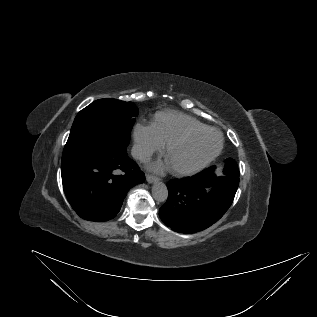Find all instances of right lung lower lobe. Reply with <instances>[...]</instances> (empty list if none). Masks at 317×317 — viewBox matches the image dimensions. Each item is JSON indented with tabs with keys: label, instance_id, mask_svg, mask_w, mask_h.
Masks as SVG:
<instances>
[{
	"label": "right lung lower lobe",
	"instance_id": "1",
	"mask_svg": "<svg viewBox=\"0 0 317 317\" xmlns=\"http://www.w3.org/2000/svg\"><path fill=\"white\" fill-rule=\"evenodd\" d=\"M63 189L75 212L89 221H107L120 211L127 191L145 180L126 150H101L61 168Z\"/></svg>",
	"mask_w": 317,
	"mask_h": 317
}]
</instances>
